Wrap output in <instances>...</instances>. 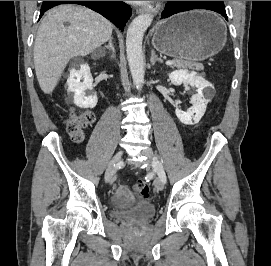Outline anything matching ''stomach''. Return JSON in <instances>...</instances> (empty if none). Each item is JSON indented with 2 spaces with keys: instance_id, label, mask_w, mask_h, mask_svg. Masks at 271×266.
<instances>
[{
  "instance_id": "obj_1",
  "label": "stomach",
  "mask_w": 271,
  "mask_h": 266,
  "mask_svg": "<svg viewBox=\"0 0 271 266\" xmlns=\"http://www.w3.org/2000/svg\"><path fill=\"white\" fill-rule=\"evenodd\" d=\"M226 27L210 11L180 13L160 21L154 28L152 45L159 52L183 61L205 60L222 50Z\"/></svg>"
}]
</instances>
